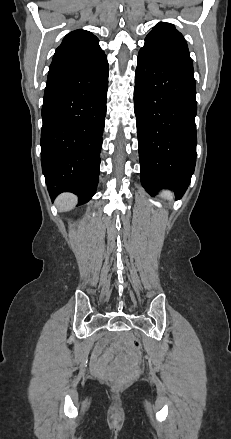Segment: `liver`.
Returning <instances> with one entry per match:
<instances>
[{"instance_id":"1","label":"liver","mask_w":231,"mask_h":439,"mask_svg":"<svg viewBox=\"0 0 231 439\" xmlns=\"http://www.w3.org/2000/svg\"><path fill=\"white\" fill-rule=\"evenodd\" d=\"M77 203V198L71 193H63L56 199V204L60 211L65 212L73 209Z\"/></svg>"}]
</instances>
